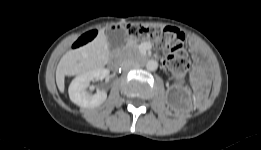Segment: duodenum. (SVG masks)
<instances>
[{"label": "duodenum", "instance_id": "obj_1", "mask_svg": "<svg viewBox=\"0 0 261 150\" xmlns=\"http://www.w3.org/2000/svg\"><path fill=\"white\" fill-rule=\"evenodd\" d=\"M120 65V57L119 56H115L112 58L111 60V66L114 69H117Z\"/></svg>", "mask_w": 261, "mask_h": 150}]
</instances>
